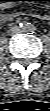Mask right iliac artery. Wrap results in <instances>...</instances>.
Segmentation results:
<instances>
[{
  "label": "right iliac artery",
  "instance_id": "82829eb1",
  "mask_svg": "<svg viewBox=\"0 0 50 111\" xmlns=\"http://www.w3.org/2000/svg\"><path fill=\"white\" fill-rule=\"evenodd\" d=\"M19 26L22 27V28H25L26 24L25 23H20Z\"/></svg>",
  "mask_w": 50,
  "mask_h": 111
}]
</instances>
